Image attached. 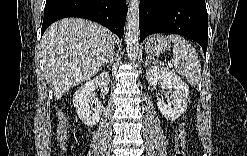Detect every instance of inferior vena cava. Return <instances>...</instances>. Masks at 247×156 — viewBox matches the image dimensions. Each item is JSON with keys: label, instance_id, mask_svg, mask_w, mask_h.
<instances>
[{"label": "inferior vena cava", "instance_id": "inferior-vena-cava-1", "mask_svg": "<svg viewBox=\"0 0 247 156\" xmlns=\"http://www.w3.org/2000/svg\"><path fill=\"white\" fill-rule=\"evenodd\" d=\"M114 44L112 46L109 47L108 51H107V59H111L113 58V55H114Z\"/></svg>", "mask_w": 247, "mask_h": 156}]
</instances>
